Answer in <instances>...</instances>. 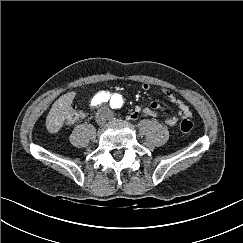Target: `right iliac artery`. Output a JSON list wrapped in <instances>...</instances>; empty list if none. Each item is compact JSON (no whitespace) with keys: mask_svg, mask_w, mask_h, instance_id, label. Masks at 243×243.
Here are the masks:
<instances>
[{"mask_svg":"<svg viewBox=\"0 0 243 243\" xmlns=\"http://www.w3.org/2000/svg\"><path fill=\"white\" fill-rule=\"evenodd\" d=\"M109 93L106 92H99L94 96V98L91 101L92 106H96L98 104H101L102 102H107L109 100Z\"/></svg>","mask_w":243,"mask_h":243,"instance_id":"right-iliac-artery-1","label":"right iliac artery"}]
</instances>
